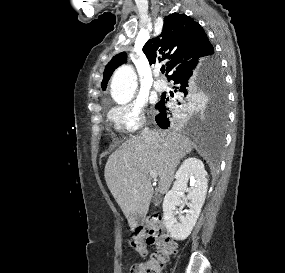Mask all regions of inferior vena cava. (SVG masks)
I'll use <instances>...</instances> for the list:
<instances>
[{"label": "inferior vena cava", "instance_id": "obj_1", "mask_svg": "<svg viewBox=\"0 0 285 273\" xmlns=\"http://www.w3.org/2000/svg\"><path fill=\"white\" fill-rule=\"evenodd\" d=\"M151 134H153V131H150V130L147 129V128H145V129L142 131V133H141V135H142L143 137L149 136V135H151Z\"/></svg>", "mask_w": 285, "mask_h": 273}]
</instances>
